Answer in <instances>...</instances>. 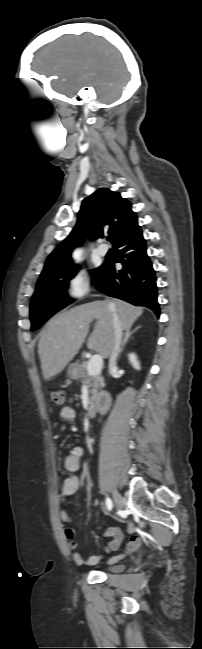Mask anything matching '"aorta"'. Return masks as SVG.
Here are the masks:
<instances>
[{
    "instance_id": "obj_1",
    "label": "aorta",
    "mask_w": 202,
    "mask_h": 649,
    "mask_svg": "<svg viewBox=\"0 0 202 649\" xmlns=\"http://www.w3.org/2000/svg\"><path fill=\"white\" fill-rule=\"evenodd\" d=\"M74 257L76 260H79L80 252L79 251L75 252Z\"/></svg>"
}]
</instances>
